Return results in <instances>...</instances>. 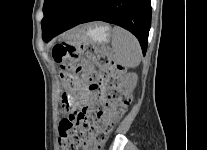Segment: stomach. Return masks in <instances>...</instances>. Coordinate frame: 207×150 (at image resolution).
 <instances>
[{
	"label": "stomach",
	"instance_id": "1",
	"mask_svg": "<svg viewBox=\"0 0 207 150\" xmlns=\"http://www.w3.org/2000/svg\"><path fill=\"white\" fill-rule=\"evenodd\" d=\"M75 42H83L87 39L101 44L107 42L110 36V26L102 22H95L86 25L81 30H76L71 33Z\"/></svg>",
	"mask_w": 207,
	"mask_h": 150
}]
</instances>
